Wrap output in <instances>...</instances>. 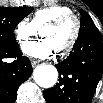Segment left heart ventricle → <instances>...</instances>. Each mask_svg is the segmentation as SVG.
Wrapping results in <instances>:
<instances>
[{
	"label": "left heart ventricle",
	"instance_id": "obj_1",
	"mask_svg": "<svg viewBox=\"0 0 103 103\" xmlns=\"http://www.w3.org/2000/svg\"><path fill=\"white\" fill-rule=\"evenodd\" d=\"M74 30V25L69 22L58 28H45L41 30V37L49 38L57 50L64 47L70 40Z\"/></svg>",
	"mask_w": 103,
	"mask_h": 103
}]
</instances>
